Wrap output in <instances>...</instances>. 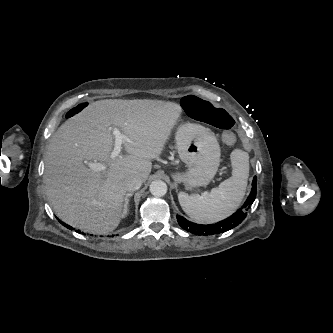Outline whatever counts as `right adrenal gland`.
<instances>
[{"label": "right adrenal gland", "instance_id": "obj_1", "mask_svg": "<svg viewBox=\"0 0 333 333\" xmlns=\"http://www.w3.org/2000/svg\"><path fill=\"white\" fill-rule=\"evenodd\" d=\"M133 195V193H127L124 198V208H123V216H126L128 213V204H129V198Z\"/></svg>", "mask_w": 333, "mask_h": 333}]
</instances>
